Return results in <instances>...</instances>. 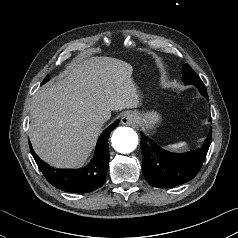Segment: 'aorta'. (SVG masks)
I'll return each mask as SVG.
<instances>
[{"instance_id": "obj_1", "label": "aorta", "mask_w": 238, "mask_h": 238, "mask_svg": "<svg viewBox=\"0 0 238 238\" xmlns=\"http://www.w3.org/2000/svg\"><path fill=\"white\" fill-rule=\"evenodd\" d=\"M111 142L117 152L129 154L133 152L138 145V135L130 127H118L112 134Z\"/></svg>"}]
</instances>
